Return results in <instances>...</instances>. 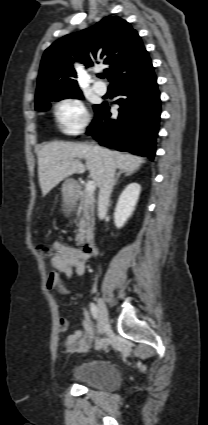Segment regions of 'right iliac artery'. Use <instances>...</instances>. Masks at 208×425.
<instances>
[{"label":"right iliac artery","instance_id":"1","mask_svg":"<svg viewBox=\"0 0 208 425\" xmlns=\"http://www.w3.org/2000/svg\"><path fill=\"white\" fill-rule=\"evenodd\" d=\"M91 314L94 320L98 318V309L94 303L90 304Z\"/></svg>","mask_w":208,"mask_h":425}]
</instances>
